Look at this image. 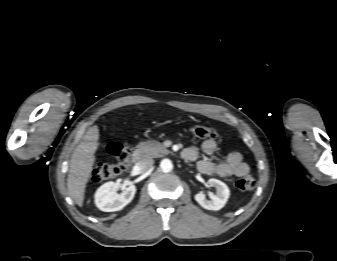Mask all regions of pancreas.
Wrapping results in <instances>:
<instances>
[{
    "mask_svg": "<svg viewBox=\"0 0 337 261\" xmlns=\"http://www.w3.org/2000/svg\"><path fill=\"white\" fill-rule=\"evenodd\" d=\"M137 147L142 156L147 158H157L169 153L164 145L155 140L140 142Z\"/></svg>",
    "mask_w": 337,
    "mask_h": 261,
    "instance_id": "1",
    "label": "pancreas"
}]
</instances>
